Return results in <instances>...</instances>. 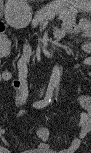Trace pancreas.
Here are the masks:
<instances>
[{"mask_svg":"<svg viewBox=\"0 0 91 153\" xmlns=\"http://www.w3.org/2000/svg\"><path fill=\"white\" fill-rule=\"evenodd\" d=\"M55 13H60L62 20L70 26H74L76 22L75 14L66 10L63 6L57 3H51L39 11H37L35 18L32 21V25L36 26L38 23L43 22L45 17H52Z\"/></svg>","mask_w":91,"mask_h":153,"instance_id":"1","label":"pancreas"}]
</instances>
